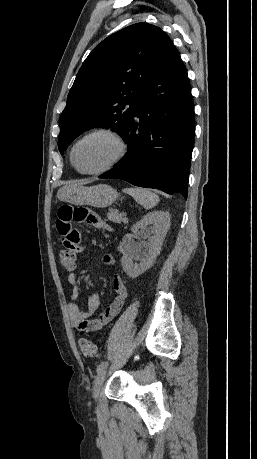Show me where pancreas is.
<instances>
[{"label":"pancreas","instance_id":"obj_1","mask_svg":"<svg viewBox=\"0 0 257 459\" xmlns=\"http://www.w3.org/2000/svg\"><path fill=\"white\" fill-rule=\"evenodd\" d=\"M107 217L114 223H121L123 221V215L116 209H110L107 213Z\"/></svg>","mask_w":257,"mask_h":459}]
</instances>
